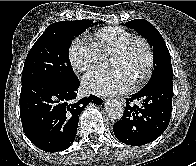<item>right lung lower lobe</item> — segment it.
Segmentation results:
<instances>
[{"label": "right lung lower lobe", "instance_id": "1", "mask_svg": "<svg viewBox=\"0 0 196 166\" xmlns=\"http://www.w3.org/2000/svg\"><path fill=\"white\" fill-rule=\"evenodd\" d=\"M79 86L78 79L69 84L44 79L22 82L19 104L23 131L39 149H67L75 140L84 107L103 102L94 95L76 101Z\"/></svg>", "mask_w": 196, "mask_h": 166}]
</instances>
